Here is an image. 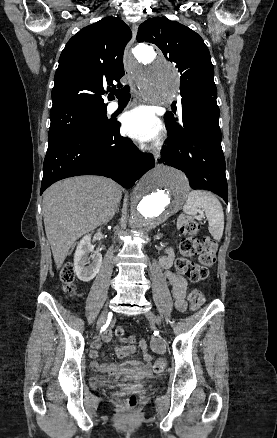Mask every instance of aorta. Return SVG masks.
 Wrapping results in <instances>:
<instances>
[{
	"label": "aorta",
	"instance_id": "762f6f07",
	"mask_svg": "<svg viewBox=\"0 0 277 438\" xmlns=\"http://www.w3.org/2000/svg\"><path fill=\"white\" fill-rule=\"evenodd\" d=\"M134 55L140 62L135 77L144 95L158 103L172 98L179 88L175 66L147 45H138ZM188 190V180L181 171L157 166L145 174L133 190L124 224L126 230L145 232L155 228L181 209Z\"/></svg>",
	"mask_w": 277,
	"mask_h": 438
}]
</instances>
